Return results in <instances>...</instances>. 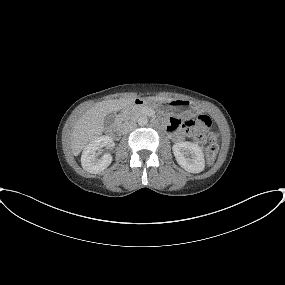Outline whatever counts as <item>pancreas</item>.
<instances>
[{
    "label": "pancreas",
    "mask_w": 285,
    "mask_h": 285,
    "mask_svg": "<svg viewBox=\"0 0 285 285\" xmlns=\"http://www.w3.org/2000/svg\"><path fill=\"white\" fill-rule=\"evenodd\" d=\"M144 108H138V107H127L123 110V112L120 114V120L125 121L129 119H133L138 117L140 114L144 113ZM120 123V122H119Z\"/></svg>",
    "instance_id": "1"
}]
</instances>
